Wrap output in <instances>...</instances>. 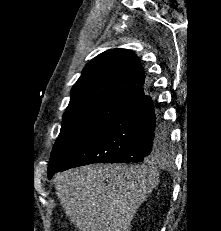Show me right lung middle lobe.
Returning a JSON list of instances; mask_svg holds the SVG:
<instances>
[{
    "label": "right lung middle lobe",
    "instance_id": "obj_1",
    "mask_svg": "<svg viewBox=\"0 0 221 231\" xmlns=\"http://www.w3.org/2000/svg\"><path fill=\"white\" fill-rule=\"evenodd\" d=\"M130 102L124 98L100 96L68 106L63 115L60 134L51 152L48 172L63 165L108 119Z\"/></svg>",
    "mask_w": 221,
    "mask_h": 231
}]
</instances>
